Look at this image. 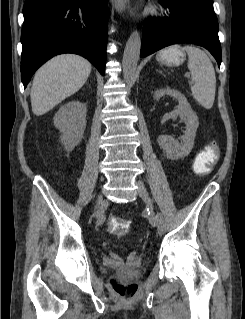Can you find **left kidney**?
I'll list each match as a JSON object with an SVG mask.
<instances>
[{
	"instance_id": "obj_1",
	"label": "left kidney",
	"mask_w": 245,
	"mask_h": 319,
	"mask_svg": "<svg viewBox=\"0 0 245 319\" xmlns=\"http://www.w3.org/2000/svg\"><path fill=\"white\" fill-rule=\"evenodd\" d=\"M164 95L173 96L178 100L179 104L172 112L163 115L161 122L164 123L169 119L180 117L186 124L184 135L181 136V144L177 139L169 135H161L158 138L159 145L166 152L167 157L171 160H177L187 156L191 152L199 121L196 113L192 110L182 93L167 87L156 90L153 97L155 100H159Z\"/></svg>"
}]
</instances>
